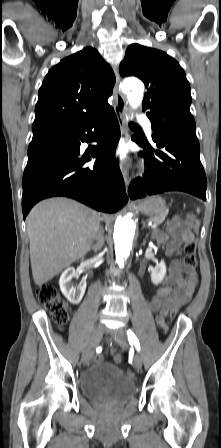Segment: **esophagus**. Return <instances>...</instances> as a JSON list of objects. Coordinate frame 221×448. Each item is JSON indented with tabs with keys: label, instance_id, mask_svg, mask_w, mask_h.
<instances>
[{
	"label": "esophagus",
	"instance_id": "34e87169",
	"mask_svg": "<svg viewBox=\"0 0 221 448\" xmlns=\"http://www.w3.org/2000/svg\"><path fill=\"white\" fill-rule=\"evenodd\" d=\"M115 74H116V83H115V87H114V91H113L114 98H115L114 111H115L116 116L119 121L121 133L123 136H126L127 135V127H126L127 104H126L123 94L120 91V84H119L120 77H119L117 70H115ZM122 175H123V178L125 181V185H126V187H128L129 183H130V177L128 174V169L125 165H122Z\"/></svg>",
	"mask_w": 221,
	"mask_h": 448
}]
</instances>
